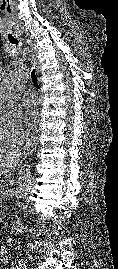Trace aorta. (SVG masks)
<instances>
[{"label":"aorta","instance_id":"762f6f07","mask_svg":"<svg viewBox=\"0 0 118 269\" xmlns=\"http://www.w3.org/2000/svg\"><path fill=\"white\" fill-rule=\"evenodd\" d=\"M28 79L26 67L16 69L4 82L0 91V114L12 115L17 111L18 101ZM33 185L31 173H23L13 189L16 198H23Z\"/></svg>","mask_w":118,"mask_h":269}]
</instances>
